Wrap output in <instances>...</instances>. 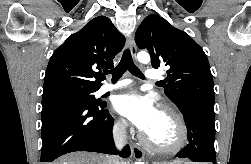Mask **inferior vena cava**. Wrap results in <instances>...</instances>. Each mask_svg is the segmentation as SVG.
Here are the masks:
<instances>
[{
	"label": "inferior vena cava",
	"mask_w": 251,
	"mask_h": 164,
	"mask_svg": "<svg viewBox=\"0 0 251 164\" xmlns=\"http://www.w3.org/2000/svg\"><path fill=\"white\" fill-rule=\"evenodd\" d=\"M126 127L127 122L122 120L118 122L113 129L114 142L116 147L120 150L126 142ZM110 164H121L118 157H111Z\"/></svg>",
	"instance_id": "1"
}]
</instances>
